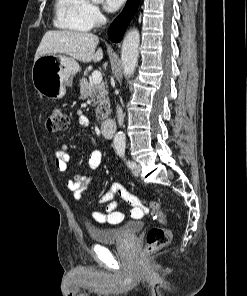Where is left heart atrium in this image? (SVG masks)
I'll return each instance as SVG.
<instances>
[{
    "instance_id": "left-heart-atrium-1",
    "label": "left heart atrium",
    "mask_w": 247,
    "mask_h": 296,
    "mask_svg": "<svg viewBox=\"0 0 247 296\" xmlns=\"http://www.w3.org/2000/svg\"><path fill=\"white\" fill-rule=\"evenodd\" d=\"M125 0H104V6L107 11H116Z\"/></svg>"
}]
</instances>
